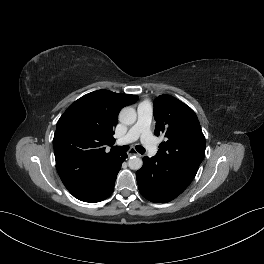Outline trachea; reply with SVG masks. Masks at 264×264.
I'll list each match as a JSON object with an SVG mask.
<instances>
[{"label": "trachea", "mask_w": 264, "mask_h": 264, "mask_svg": "<svg viewBox=\"0 0 264 264\" xmlns=\"http://www.w3.org/2000/svg\"><path fill=\"white\" fill-rule=\"evenodd\" d=\"M114 149L116 151H120V152H127L129 150V146L128 145H125V146H115ZM136 150L140 154H144L145 153V149L141 145H137L136 146Z\"/></svg>", "instance_id": "trachea-1"}]
</instances>
